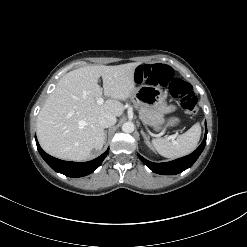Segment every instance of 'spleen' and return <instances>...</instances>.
<instances>
[{"instance_id":"3e777b00","label":"spleen","mask_w":247,"mask_h":247,"mask_svg":"<svg viewBox=\"0 0 247 247\" xmlns=\"http://www.w3.org/2000/svg\"><path fill=\"white\" fill-rule=\"evenodd\" d=\"M201 135L199 123L194 124L187 132L179 135L176 140L158 138L152 141L156 151L166 158H179L195 150Z\"/></svg>"}]
</instances>
